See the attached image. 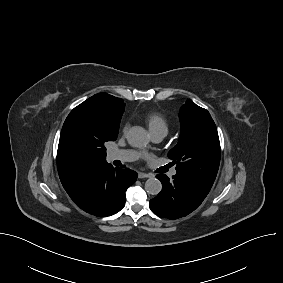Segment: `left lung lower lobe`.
Segmentation results:
<instances>
[{
  "mask_svg": "<svg viewBox=\"0 0 283 283\" xmlns=\"http://www.w3.org/2000/svg\"><path fill=\"white\" fill-rule=\"evenodd\" d=\"M162 183V191L149 202L151 210L158 216L177 219L194 211L207 196L195 181L176 174L170 180L165 174L156 176Z\"/></svg>",
  "mask_w": 283,
  "mask_h": 283,
  "instance_id": "0a47b994",
  "label": "left lung lower lobe"
}]
</instances>
